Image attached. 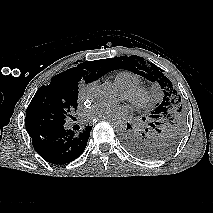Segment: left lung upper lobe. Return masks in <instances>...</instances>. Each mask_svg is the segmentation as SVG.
<instances>
[{"label":"left lung upper lobe","instance_id":"1","mask_svg":"<svg viewBox=\"0 0 213 213\" xmlns=\"http://www.w3.org/2000/svg\"><path fill=\"white\" fill-rule=\"evenodd\" d=\"M109 70L126 69L152 82H157L164 97L151 113L146 123L131 129L126 139V148L145 159H161L174 151L185 131V113L182 100L172 82L156 65H148L144 58L136 55L121 56L106 60Z\"/></svg>","mask_w":213,"mask_h":213}]
</instances>
